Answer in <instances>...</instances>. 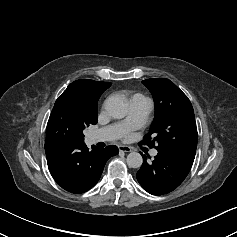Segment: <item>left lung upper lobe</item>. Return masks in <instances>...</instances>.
I'll return each instance as SVG.
<instances>
[{"label":"left lung upper lobe","mask_w":237,"mask_h":237,"mask_svg":"<svg viewBox=\"0 0 237 237\" xmlns=\"http://www.w3.org/2000/svg\"><path fill=\"white\" fill-rule=\"evenodd\" d=\"M142 83L155 102V118L144 143L161 153L195 157L197 128L188 97L168 79H147Z\"/></svg>","instance_id":"obj_1"}]
</instances>
